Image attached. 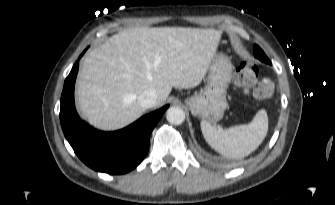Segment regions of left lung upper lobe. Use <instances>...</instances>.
<instances>
[{"mask_svg": "<svg viewBox=\"0 0 335 205\" xmlns=\"http://www.w3.org/2000/svg\"><path fill=\"white\" fill-rule=\"evenodd\" d=\"M253 54L260 61L267 63V64H271L270 60L268 59L264 51L258 45H254Z\"/></svg>", "mask_w": 335, "mask_h": 205, "instance_id": "1", "label": "left lung upper lobe"}]
</instances>
